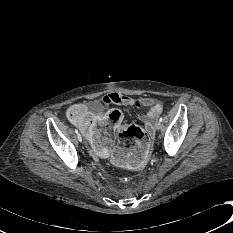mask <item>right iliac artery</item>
I'll use <instances>...</instances> for the list:
<instances>
[{
	"instance_id": "right-iliac-artery-1",
	"label": "right iliac artery",
	"mask_w": 233,
	"mask_h": 233,
	"mask_svg": "<svg viewBox=\"0 0 233 233\" xmlns=\"http://www.w3.org/2000/svg\"><path fill=\"white\" fill-rule=\"evenodd\" d=\"M75 132H76L77 134H79V132H78V130H77V129L75 130Z\"/></svg>"
}]
</instances>
